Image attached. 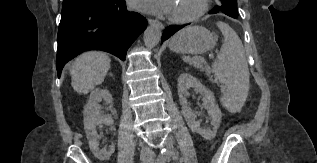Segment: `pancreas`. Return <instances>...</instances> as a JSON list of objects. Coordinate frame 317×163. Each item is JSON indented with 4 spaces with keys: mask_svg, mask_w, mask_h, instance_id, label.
<instances>
[{
    "mask_svg": "<svg viewBox=\"0 0 317 163\" xmlns=\"http://www.w3.org/2000/svg\"><path fill=\"white\" fill-rule=\"evenodd\" d=\"M193 65H194L196 68H200V69H202V70H206L207 73H210L209 67L206 65V63H205L203 60L196 59V62L193 63Z\"/></svg>",
    "mask_w": 317,
    "mask_h": 163,
    "instance_id": "pancreas-1",
    "label": "pancreas"
}]
</instances>
